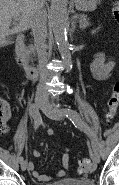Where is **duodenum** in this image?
Wrapping results in <instances>:
<instances>
[{"instance_id":"410a0bca","label":"duodenum","mask_w":119,"mask_h":185,"mask_svg":"<svg viewBox=\"0 0 119 185\" xmlns=\"http://www.w3.org/2000/svg\"><path fill=\"white\" fill-rule=\"evenodd\" d=\"M15 57L18 65L23 68L28 79L34 80L38 77V69L29 63L25 37L23 35L17 37L15 45Z\"/></svg>"}]
</instances>
